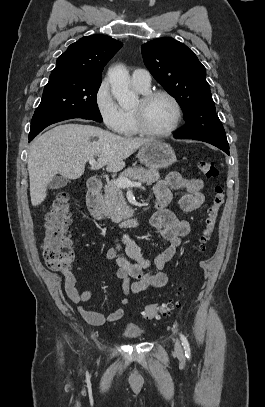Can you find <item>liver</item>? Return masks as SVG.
Wrapping results in <instances>:
<instances>
[{"label": "liver", "mask_w": 265, "mask_h": 407, "mask_svg": "<svg viewBox=\"0 0 265 407\" xmlns=\"http://www.w3.org/2000/svg\"><path fill=\"white\" fill-rule=\"evenodd\" d=\"M151 141L122 137L92 125L64 124L50 129L34 141L28 155L32 205L45 200L46 188L57 174L78 179L94 157L98 159L91 170L107 166L108 171H120L126 158Z\"/></svg>", "instance_id": "1"}]
</instances>
